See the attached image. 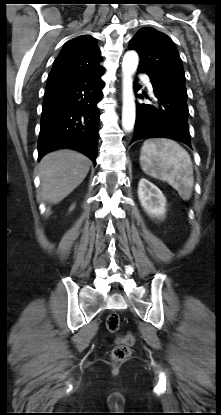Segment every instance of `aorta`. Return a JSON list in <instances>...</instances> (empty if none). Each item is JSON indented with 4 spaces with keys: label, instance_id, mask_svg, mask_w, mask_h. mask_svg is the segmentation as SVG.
Returning <instances> with one entry per match:
<instances>
[{
    "label": "aorta",
    "instance_id": "aorta-1",
    "mask_svg": "<svg viewBox=\"0 0 221 415\" xmlns=\"http://www.w3.org/2000/svg\"><path fill=\"white\" fill-rule=\"evenodd\" d=\"M139 57L135 51H128L122 61V127L126 132L132 131L135 124V101L132 76L137 69Z\"/></svg>",
    "mask_w": 221,
    "mask_h": 415
}]
</instances>
